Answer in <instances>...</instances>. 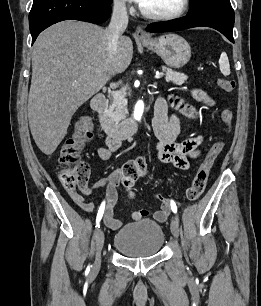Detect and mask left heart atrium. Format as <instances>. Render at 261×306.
I'll use <instances>...</instances> for the list:
<instances>
[{
    "mask_svg": "<svg viewBox=\"0 0 261 306\" xmlns=\"http://www.w3.org/2000/svg\"><path fill=\"white\" fill-rule=\"evenodd\" d=\"M131 1H134V2H136L138 4H140V5L144 2V0H131Z\"/></svg>",
    "mask_w": 261,
    "mask_h": 306,
    "instance_id": "obj_1",
    "label": "left heart atrium"
}]
</instances>
